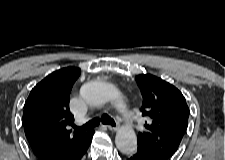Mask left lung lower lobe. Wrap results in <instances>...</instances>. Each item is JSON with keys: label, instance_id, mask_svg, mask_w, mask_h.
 <instances>
[{"label": "left lung lower lobe", "instance_id": "1", "mask_svg": "<svg viewBox=\"0 0 225 160\" xmlns=\"http://www.w3.org/2000/svg\"><path fill=\"white\" fill-rule=\"evenodd\" d=\"M128 160H164L154 154L139 150L133 154Z\"/></svg>", "mask_w": 225, "mask_h": 160}]
</instances>
